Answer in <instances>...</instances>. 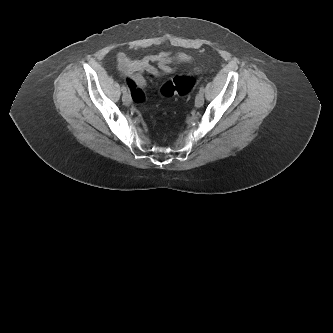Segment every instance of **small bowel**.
<instances>
[{"instance_id": "1", "label": "small bowel", "mask_w": 333, "mask_h": 333, "mask_svg": "<svg viewBox=\"0 0 333 333\" xmlns=\"http://www.w3.org/2000/svg\"><path fill=\"white\" fill-rule=\"evenodd\" d=\"M116 60L118 71L129 77L128 82L132 88L134 100L142 102L145 99L144 89L147 87L143 73H147L150 79L157 80L175 70L172 66L173 63L188 62L190 57L185 53L162 51L147 55L139 60H131L126 54L118 53Z\"/></svg>"}]
</instances>
